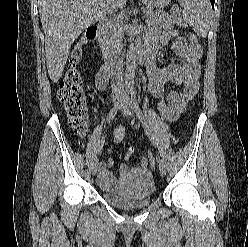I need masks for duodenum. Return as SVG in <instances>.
<instances>
[{
  "mask_svg": "<svg viewBox=\"0 0 248 247\" xmlns=\"http://www.w3.org/2000/svg\"><path fill=\"white\" fill-rule=\"evenodd\" d=\"M95 31L97 45L104 54V67L108 73H115L116 69L121 65V58L118 55L106 52V22L103 19L98 20L92 27ZM135 58L139 63H144L149 59L147 51H137Z\"/></svg>",
  "mask_w": 248,
  "mask_h": 247,
  "instance_id": "410a0bca",
  "label": "duodenum"
}]
</instances>
